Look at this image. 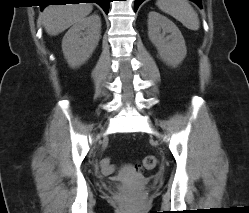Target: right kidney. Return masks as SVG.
I'll list each match as a JSON object with an SVG mask.
<instances>
[{"label": "right kidney", "mask_w": 249, "mask_h": 213, "mask_svg": "<svg viewBox=\"0 0 249 213\" xmlns=\"http://www.w3.org/2000/svg\"><path fill=\"white\" fill-rule=\"evenodd\" d=\"M101 36V19L93 14L74 24L62 40V51L70 67L84 64L94 52Z\"/></svg>", "instance_id": "1"}]
</instances>
